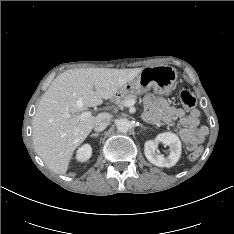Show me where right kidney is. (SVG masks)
Instances as JSON below:
<instances>
[{"label":"right kidney","instance_id":"ca27d5eb","mask_svg":"<svg viewBox=\"0 0 234 234\" xmlns=\"http://www.w3.org/2000/svg\"><path fill=\"white\" fill-rule=\"evenodd\" d=\"M92 155V148L90 144L82 145L76 152V159L79 162L87 161Z\"/></svg>","mask_w":234,"mask_h":234}]
</instances>
